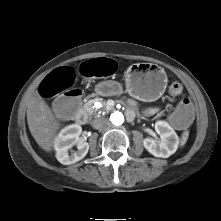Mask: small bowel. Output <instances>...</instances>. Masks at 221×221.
Segmentation results:
<instances>
[{
  "mask_svg": "<svg viewBox=\"0 0 221 221\" xmlns=\"http://www.w3.org/2000/svg\"><path fill=\"white\" fill-rule=\"evenodd\" d=\"M157 111H158L157 108H149V109H147V110L145 111V113H146L147 115H153V114H155Z\"/></svg>",
  "mask_w": 221,
  "mask_h": 221,
  "instance_id": "obj_1",
  "label": "small bowel"
}]
</instances>
